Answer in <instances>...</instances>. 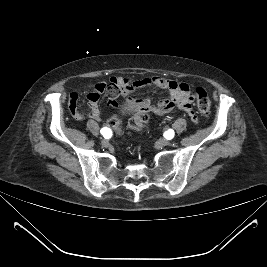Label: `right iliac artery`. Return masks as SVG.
<instances>
[{
	"instance_id": "1",
	"label": "right iliac artery",
	"mask_w": 267,
	"mask_h": 267,
	"mask_svg": "<svg viewBox=\"0 0 267 267\" xmlns=\"http://www.w3.org/2000/svg\"><path fill=\"white\" fill-rule=\"evenodd\" d=\"M101 134L105 137V138H110L112 135V131L109 128H102L101 129Z\"/></svg>"
}]
</instances>
